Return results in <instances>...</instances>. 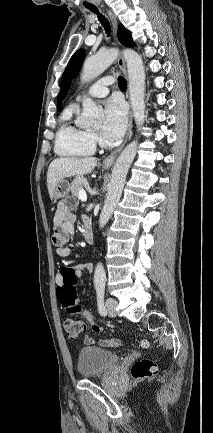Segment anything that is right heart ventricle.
I'll return each instance as SVG.
<instances>
[{
	"label": "right heart ventricle",
	"mask_w": 213,
	"mask_h": 433,
	"mask_svg": "<svg viewBox=\"0 0 213 433\" xmlns=\"http://www.w3.org/2000/svg\"><path fill=\"white\" fill-rule=\"evenodd\" d=\"M76 106H69L62 115V122L56 134L55 151L61 156L81 157L95 152L94 136L74 119Z\"/></svg>",
	"instance_id": "obj_1"
}]
</instances>
